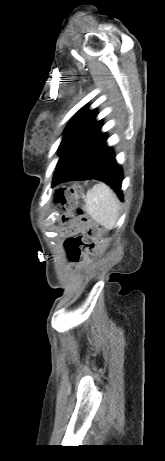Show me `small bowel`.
I'll use <instances>...</instances> for the list:
<instances>
[{"label":"small bowel","mask_w":165,"mask_h":461,"mask_svg":"<svg viewBox=\"0 0 165 461\" xmlns=\"http://www.w3.org/2000/svg\"><path fill=\"white\" fill-rule=\"evenodd\" d=\"M82 226L79 223H73L72 229H64L63 235L60 234L58 237L64 241V245L61 246V251L64 253V262L71 263V267L82 266L83 258L86 256V248H84L85 242L90 241V237L93 235L92 229H82L81 234H74V231H79Z\"/></svg>","instance_id":"c3829d8e"}]
</instances>
